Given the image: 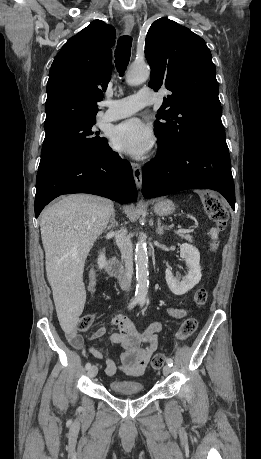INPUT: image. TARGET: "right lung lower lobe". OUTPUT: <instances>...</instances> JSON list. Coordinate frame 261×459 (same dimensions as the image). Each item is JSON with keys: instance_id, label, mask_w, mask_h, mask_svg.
Wrapping results in <instances>:
<instances>
[{"instance_id": "obj_1", "label": "right lung lower lobe", "mask_w": 261, "mask_h": 459, "mask_svg": "<svg viewBox=\"0 0 261 459\" xmlns=\"http://www.w3.org/2000/svg\"><path fill=\"white\" fill-rule=\"evenodd\" d=\"M90 193L119 203L137 200L129 162L107 145L101 153L66 160L37 176L35 217L62 194Z\"/></svg>"}]
</instances>
